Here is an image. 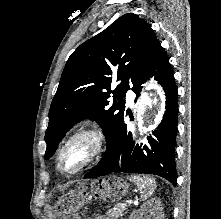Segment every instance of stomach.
<instances>
[{
    "label": "stomach",
    "instance_id": "0dacf381",
    "mask_svg": "<svg viewBox=\"0 0 221 219\" xmlns=\"http://www.w3.org/2000/svg\"><path fill=\"white\" fill-rule=\"evenodd\" d=\"M120 178H96L88 187L81 185L79 190H58L62 199H77V204H86V199H122L126 195L127 184L121 182ZM112 183V185H110Z\"/></svg>",
    "mask_w": 221,
    "mask_h": 219
}]
</instances>
